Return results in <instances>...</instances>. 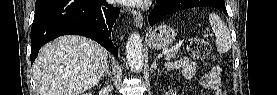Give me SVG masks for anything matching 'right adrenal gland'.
I'll list each match as a JSON object with an SVG mask.
<instances>
[{
    "label": "right adrenal gland",
    "mask_w": 277,
    "mask_h": 95,
    "mask_svg": "<svg viewBox=\"0 0 277 95\" xmlns=\"http://www.w3.org/2000/svg\"><path fill=\"white\" fill-rule=\"evenodd\" d=\"M106 76H108V77L110 76L109 65H107V68H106L104 74L102 75V79L101 80H103L104 77H106Z\"/></svg>",
    "instance_id": "1"
}]
</instances>
